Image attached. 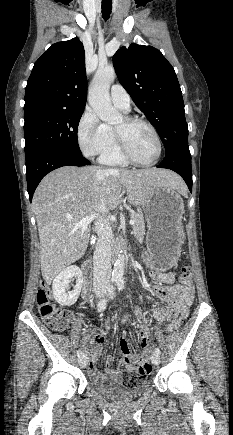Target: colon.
<instances>
[{"instance_id":"obj_1","label":"colon","mask_w":233,"mask_h":435,"mask_svg":"<svg viewBox=\"0 0 233 435\" xmlns=\"http://www.w3.org/2000/svg\"><path fill=\"white\" fill-rule=\"evenodd\" d=\"M179 281L185 287H189L192 283L191 267L186 266L182 268ZM51 289L45 284L41 283L36 294V303L39 309V313L42 319L46 322L48 327L54 331H64L67 329L71 319L72 314L67 309L57 308L50 301ZM189 312V305L186 304L182 308L180 317L175 321L176 323L181 322L185 319ZM144 371H151V366L148 364H142L138 368V374ZM137 380L129 379L124 382L125 388H130L131 386L137 384Z\"/></svg>"}]
</instances>
